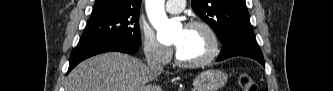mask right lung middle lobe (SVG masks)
Returning a JSON list of instances; mask_svg holds the SVG:
<instances>
[{
  "mask_svg": "<svg viewBox=\"0 0 333 91\" xmlns=\"http://www.w3.org/2000/svg\"><path fill=\"white\" fill-rule=\"evenodd\" d=\"M82 38H116L140 46L139 11H127L91 18Z\"/></svg>",
  "mask_w": 333,
  "mask_h": 91,
  "instance_id": "obj_1",
  "label": "right lung middle lobe"
}]
</instances>
